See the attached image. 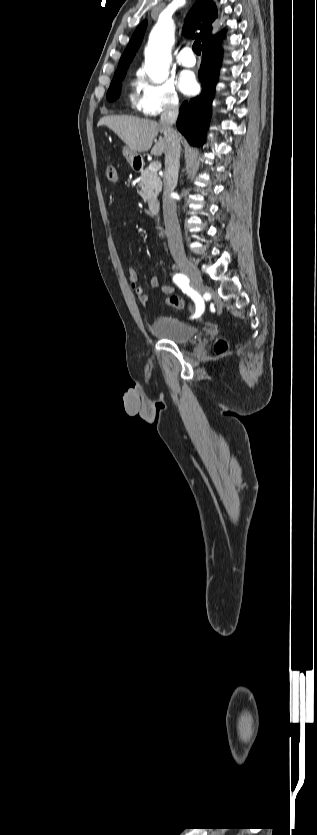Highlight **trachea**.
<instances>
[{
  "instance_id": "1",
  "label": "trachea",
  "mask_w": 317,
  "mask_h": 835,
  "mask_svg": "<svg viewBox=\"0 0 317 835\" xmlns=\"http://www.w3.org/2000/svg\"><path fill=\"white\" fill-rule=\"evenodd\" d=\"M200 46H201V43H200V41H199V40H196V41L194 42L193 46H192L193 51H194V52H195V54H197V55H200V54H201V49H200Z\"/></svg>"
}]
</instances>
